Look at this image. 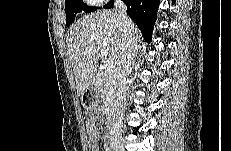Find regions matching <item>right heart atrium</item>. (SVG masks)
I'll return each instance as SVG.
<instances>
[{"mask_svg": "<svg viewBox=\"0 0 231 151\" xmlns=\"http://www.w3.org/2000/svg\"><path fill=\"white\" fill-rule=\"evenodd\" d=\"M92 4H100V3H103L102 0H92L90 1Z\"/></svg>", "mask_w": 231, "mask_h": 151, "instance_id": "d8ad5b80", "label": "right heart atrium"}]
</instances>
